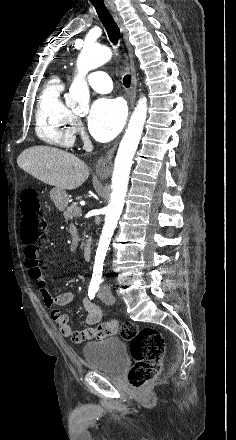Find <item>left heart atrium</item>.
<instances>
[{
    "label": "left heart atrium",
    "instance_id": "39dd6f15",
    "mask_svg": "<svg viewBox=\"0 0 236 440\" xmlns=\"http://www.w3.org/2000/svg\"><path fill=\"white\" fill-rule=\"evenodd\" d=\"M126 118L124 103L115 98L102 97L90 108L88 125L92 136L101 142L113 139L121 130Z\"/></svg>",
    "mask_w": 236,
    "mask_h": 440
}]
</instances>
